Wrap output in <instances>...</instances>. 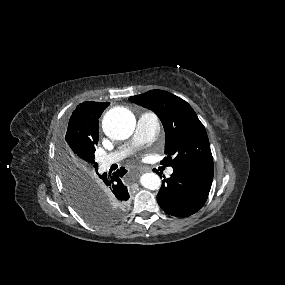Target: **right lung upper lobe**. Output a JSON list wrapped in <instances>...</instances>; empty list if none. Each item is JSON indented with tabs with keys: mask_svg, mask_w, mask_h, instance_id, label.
I'll list each match as a JSON object with an SVG mask.
<instances>
[{
	"mask_svg": "<svg viewBox=\"0 0 285 285\" xmlns=\"http://www.w3.org/2000/svg\"><path fill=\"white\" fill-rule=\"evenodd\" d=\"M109 104L87 101L73 111L64 138L71 154L95 151L99 139L98 119Z\"/></svg>",
	"mask_w": 285,
	"mask_h": 285,
	"instance_id": "right-lung-upper-lobe-1",
	"label": "right lung upper lobe"
}]
</instances>
